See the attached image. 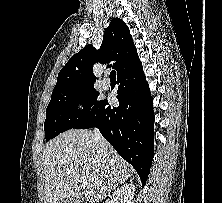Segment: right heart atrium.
I'll return each instance as SVG.
<instances>
[{"instance_id":"d8ad5b80","label":"right heart atrium","mask_w":222,"mask_h":203,"mask_svg":"<svg viewBox=\"0 0 222 203\" xmlns=\"http://www.w3.org/2000/svg\"><path fill=\"white\" fill-rule=\"evenodd\" d=\"M84 108H85V104L84 103L81 102V103L77 104V109L78 110H84Z\"/></svg>"}]
</instances>
